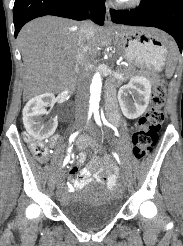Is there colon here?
Returning a JSON list of instances; mask_svg holds the SVG:
<instances>
[{
	"mask_svg": "<svg viewBox=\"0 0 183 246\" xmlns=\"http://www.w3.org/2000/svg\"><path fill=\"white\" fill-rule=\"evenodd\" d=\"M166 100V88L164 84L157 83L154 86L151 107L138 121V126L133 134V155L135 159H143L156 144L158 131L164 119L163 106ZM32 154L40 159H45L47 148L42 142L29 141ZM107 150L101 149L100 157H106Z\"/></svg>",
	"mask_w": 183,
	"mask_h": 246,
	"instance_id": "5ec220e1",
	"label": "colon"
}]
</instances>
